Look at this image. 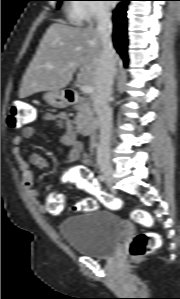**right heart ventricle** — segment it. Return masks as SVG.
<instances>
[{"label": "right heart ventricle", "mask_w": 180, "mask_h": 299, "mask_svg": "<svg viewBox=\"0 0 180 299\" xmlns=\"http://www.w3.org/2000/svg\"><path fill=\"white\" fill-rule=\"evenodd\" d=\"M79 8L80 7L78 5L74 4L68 11L70 20L77 25L82 24V22L84 21V17L79 11Z\"/></svg>", "instance_id": "1"}]
</instances>
